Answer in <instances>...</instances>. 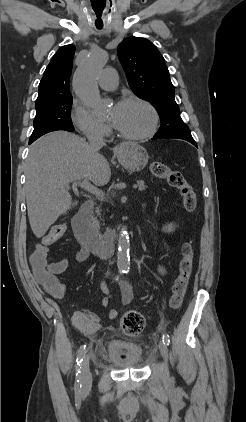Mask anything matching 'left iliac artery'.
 <instances>
[{"instance_id": "44dca946", "label": "left iliac artery", "mask_w": 246, "mask_h": 422, "mask_svg": "<svg viewBox=\"0 0 246 422\" xmlns=\"http://www.w3.org/2000/svg\"><path fill=\"white\" fill-rule=\"evenodd\" d=\"M125 273H128V271H125ZM162 340H163V342L166 344V345H169V343H170V339H169V335L168 334H163V336H162Z\"/></svg>"}]
</instances>
